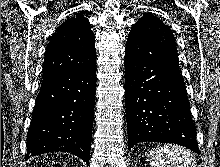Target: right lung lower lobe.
Returning a JSON list of instances; mask_svg holds the SVG:
<instances>
[{
  "instance_id": "obj_1",
  "label": "right lung lower lobe",
  "mask_w": 220,
  "mask_h": 167,
  "mask_svg": "<svg viewBox=\"0 0 220 167\" xmlns=\"http://www.w3.org/2000/svg\"><path fill=\"white\" fill-rule=\"evenodd\" d=\"M96 65L44 79L27 135L25 159L47 152L77 155L89 165Z\"/></svg>"
}]
</instances>
